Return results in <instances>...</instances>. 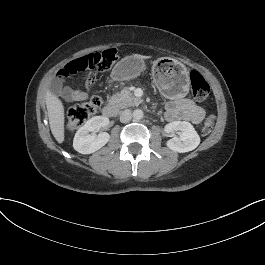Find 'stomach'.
I'll return each instance as SVG.
<instances>
[{"mask_svg":"<svg viewBox=\"0 0 265 265\" xmlns=\"http://www.w3.org/2000/svg\"><path fill=\"white\" fill-rule=\"evenodd\" d=\"M143 70V59L128 56L115 65L111 76L118 81L129 80L140 75ZM152 77L155 85L167 98H183L189 91V72L176 59L162 57L154 61Z\"/></svg>","mask_w":265,"mask_h":265,"instance_id":"stomach-1","label":"stomach"}]
</instances>
